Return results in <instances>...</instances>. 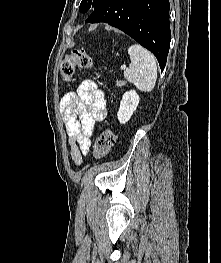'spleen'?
<instances>
[{"instance_id":"obj_1","label":"spleen","mask_w":221,"mask_h":263,"mask_svg":"<svg viewBox=\"0 0 221 263\" xmlns=\"http://www.w3.org/2000/svg\"><path fill=\"white\" fill-rule=\"evenodd\" d=\"M130 64L124 71V77L133 83L140 91L150 92L157 79L155 57L140 45H131L128 48Z\"/></svg>"}]
</instances>
